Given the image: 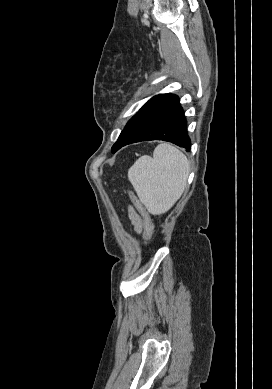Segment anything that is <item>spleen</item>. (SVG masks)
I'll return each mask as SVG.
<instances>
[{
    "label": "spleen",
    "mask_w": 272,
    "mask_h": 389,
    "mask_svg": "<svg viewBox=\"0 0 272 389\" xmlns=\"http://www.w3.org/2000/svg\"><path fill=\"white\" fill-rule=\"evenodd\" d=\"M189 175L187 157L174 146L161 143L153 158L144 155L128 170V179L140 201L154 215L167 212L181 197Z\"/></svg>",
    "instance_id": "3e777b00"
}]
</instances>
